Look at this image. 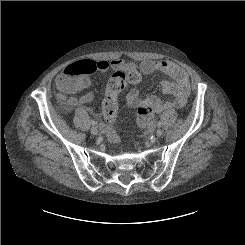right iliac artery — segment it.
I'll return each instance as SVG.
<instances>
[{
    "label": "right iliac artery",
    "instance_id": "right-iliac-artery-1",
    "mask_svg": "<svg viewBox=\"0 0 245 245\" xmlns=\"http://www.w3.org/2000/svg\"><path fill=\"white\" fill-rule=\"evenodd\" d=\"M91 124H92V125H95L96 123H95V121H94V120H91Z\"/></svg>",
    "mask_w": 245,
    "mask_h": 245
}]
</instances>
